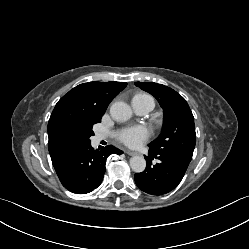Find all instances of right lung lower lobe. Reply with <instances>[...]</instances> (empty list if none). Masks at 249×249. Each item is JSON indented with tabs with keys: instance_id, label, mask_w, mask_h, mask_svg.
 Masks as SVG:
<instances>
[{
	"instance_id": "98d812e1",
	"label": "right lung lower lobe",
	"mask_w": 249,
	"mask_h": 249,
	"mask_svg": "<svg viewBox=\"0 0 249 249\" xmlns=\"http://www.w3.org/2000/svg\"><path fill=\"white\" fill-rule=\"evenodd\" d=\"M114 146L98 151L91 143L84 145L69 156L55 171L62 185L73 193L85 194L97 188L105 173L106 159L110 154H122Z\"/></svg>"
}]
</instances>
